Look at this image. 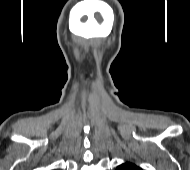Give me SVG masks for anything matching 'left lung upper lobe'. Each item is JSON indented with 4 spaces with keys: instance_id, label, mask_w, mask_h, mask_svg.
Masks as SVG:
<instances>
[{
    "instance_id": "5c2ea615",
    "label": "left lung upper lobe",
    "mask_w": 190,
    "mask_h": 170,
    "mask_svg": "<svg viewBox=\"0 0 190 170\" xmlns=\"http://www.w3.org/2000/svg\"><path fill=\"white\" fill-rule=\"evenodd\" d=\"M116 170H142L140 167L136 166L135 164L126 162L119 165Z\"/></svg>"
}]
</instances>
